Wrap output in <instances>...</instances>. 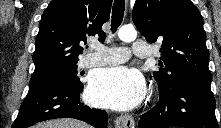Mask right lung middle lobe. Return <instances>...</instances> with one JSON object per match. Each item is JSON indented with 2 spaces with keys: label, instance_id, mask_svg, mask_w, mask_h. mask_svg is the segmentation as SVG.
Returning <instances> with one entry per match:
<instances>
[{
  "label": "right lung middle lobe",
  "instance_id": "obj_1",
  "mask_svg": "<svg viewBox=\"0 0 221 128\" xmlns=\"http://www.w3.org/2000/svg\"><path fill=\"white\" fill-rule=\"evenodd\" d=\"M77 65H72L69 67L61 68L46 74L35 75L30 79V87L33 88L50 81H61L71 83L78 87H83L82 82L77 76Z\"/></svg>",
  "mask_w": 221,
  "mask_h": 128
}]
</instances>
